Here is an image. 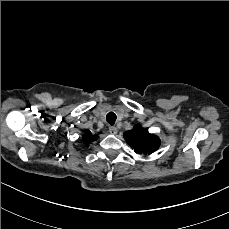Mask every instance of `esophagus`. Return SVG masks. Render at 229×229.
Segmentation results:
<instances>
[{"mask_svg":"<svg viewBox=\"0 0 229 229\" xmlns=\"http://www.w3.org/2000/svg\"><path fill=\"white\" fill-rule=\"evenodd\" d=\"M109 131H110V133L113 134V135H116V134L118 133L117 128L114 127V126H110V127H109Z\"/></svg>","mask_w":229,"mask_h":229,"instance_id":"esophagus-1","label":"esophagus"}]
</instances>
